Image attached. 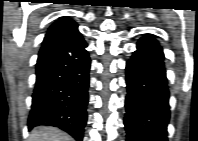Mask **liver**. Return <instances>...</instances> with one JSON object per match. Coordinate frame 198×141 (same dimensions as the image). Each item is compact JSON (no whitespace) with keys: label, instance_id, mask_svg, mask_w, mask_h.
Returning a JSON list of instances; mask_svg holds the SVG:
<instances>
[{"label":"liver","instance_id":"6515ba94","mask_svg":"<svg viewBox=\"0 0 198 141\" xmlns=\"http://www.w3.org/2000/svg\"><path fill=\"white\" fill-rule=\"evenodd\" d=\"M29 141H73V138L57 128L40 126L31 131Z\"/></svg>","mask_w":198,"mask_h":141}]
</instances>
